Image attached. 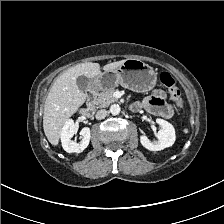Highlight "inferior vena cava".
I'll return each mask as SVG.
<instances>
[{"label": "inferior vena cava", "mask_w": 224, "mask_h": 224, "mask_svg": "<svg viewBox=\"0 0 224 224\" xmlns=\"http://www.w3.org/2000/svg\"><path fill=\"white\" fill-rule=\"evenodd\" d=\"M107 115V110L105 109H100L97 111L95 117L97 120H101V119H104Z\"/></svg>", "instance_id": "obj_1"}]
</instances>
